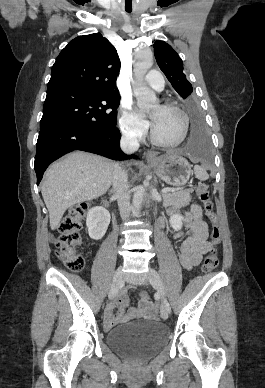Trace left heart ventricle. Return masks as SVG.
<instances>
[{
	"label": "left heart ventricle",
	"instance_id": "1",
	"mask_svg": "<svg viewBox=\"0 0 265 388\" xmlns=\"http://www.w3.org/2000/svg\"><path fill=\"white\" fill-rule=\"evenodd\" d=\"M146 87L148 91H156L153 86ZM151 113L154 116L156 130L162 138L173 140L179 135L181 128L179 115L159 105L155 106Z\"/></svg>",
	"mask_w": 265,
	"mask_h": 388
}]
</instances>
